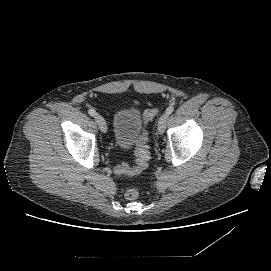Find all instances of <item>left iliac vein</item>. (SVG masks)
Listing matches in <instances>:
<instances>
[{
    "mask_svg": "<svg viewBox=\"0 0 271 271\" xmlns=\"http://www.w3.org/2000/svg\"><path fill=\"white\" fill-rule=\"evenodd\" d=\"M168 118V114H163L160 116L159 120H158V132L159 134H163L166 128V121Z\"/></svg>",
    "mask_w": 271,
    "mask_h": 271,
    "instance_id": "left-iliac-vein-1",
    "label": "left iliac vein"
}]
</instances>
